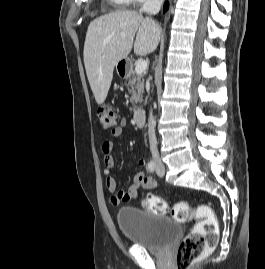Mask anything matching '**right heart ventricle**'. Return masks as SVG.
Segmentation results:
<instances>
[{"mask_svg":"<svg viewBox=\"0 0 265 269\" xmlns=\"http://www.w3.org/2000/svg\"><path fill=\"white\" fill-rule=\"evenodd\" d=\"M117 8H125L130 2L129 0H109Z\"/></svg>","mask_w":265,"mask_h":269,"instance_id":"right-heart-ventricle-1","label":"right heart ventricle"}]
</instances>
